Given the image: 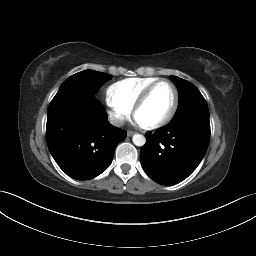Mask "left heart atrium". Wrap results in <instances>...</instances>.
Masks as SVG:
<instances>
[{"label": "left heart atrium", "mask_w": 256, "mask_h": 256, "mask_svg": "<svg viewBox=\"0 0 256 256\" xmlns=\"http://www.w3.org/2000/svg\"><path fill=\"white\" fill-rule=\"evenodd\" d=\"M135 123L138 125H142V123L135 117Z\"/></svg>", "instance_id": "obj_1"}]
</instances>
